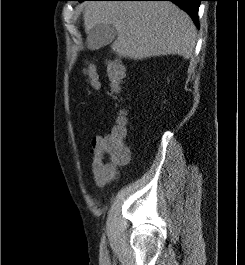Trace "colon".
<instances>
[{"label": "colon", "mask_w": 245, "mask_h": 265, "mask_svg": "<svg viewBox=\"0 0 245 265\" xmlns=\"http://www.w3.org/2000/svg\"><path fill=\"white\" fill-rule=\"evenodd\" d=\"M84 72L90 86L98 89L100 82L95 66L89 64ZM106 72L112 93H118L125 78L124 66L119 60L110 59L106 63ZM126 135V119L122 114L116 126L104 136L103 143L93 154V166L97 170L113 177L117 168L128 161L129 150L126 146Z\"/></svg>", "instance_id": "1"}]
</instances>
